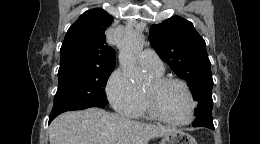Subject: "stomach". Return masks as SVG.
Wrapping results in <instances>:
<instances>
[{"label": "stomach", "mask_w": 260, "mask_h": 144, "mask_svg": "<svg viewBox=\"0 0 260 144\" xmlns=\"http://www.w3.org/2000/svg\"><path fill=\"white\" fill-rule=\"evenodd\" d=\"M161 144H197V142L190 134L182 130H177L165 135Z\"/></svg>", "instance_id": "1"}]
</instances>
